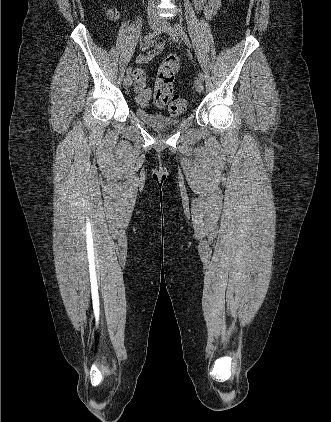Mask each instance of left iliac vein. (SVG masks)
<instances>
[{
	"mask_svg": "<svg viewBox=\"0 0 331 422\" xmlns=\"http://www.w3.org/2000/svg\"><path fill=\"white\" fill-rule=\"evenodd\" d=\"M159 25L163 29V31L170 37L173 41H178V33L177 31L170 25L167 20L159 19ZM194 87L197 92L203 91V81L200 77H197L194 82Z\"/></svg>",
	"mask_w": 331,
	"mask_h": 422,
	"instance_id": "4c4485c4",
	"label": "left iliac vein"
}]
</instances>
